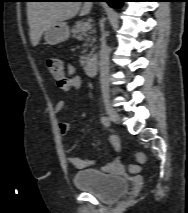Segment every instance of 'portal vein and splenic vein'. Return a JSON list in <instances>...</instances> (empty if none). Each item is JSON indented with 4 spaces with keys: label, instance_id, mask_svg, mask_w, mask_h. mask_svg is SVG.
Instances as JSON below:
<instances>
[{
    "label": "portal vein and splenic vein",
    "instance_id": "18ae733b",
    "mask_svg": "<svg viewBox=\"0 0 188 213\" xmlns=\"http://www.w3.org/2000/svg\"><path fill=\"white\" fill-rule=\"evenodd\" d=\"M90 23L89 22H86L85 24H84V26H83V31H86V30H88L89 28H90Z\"/></svg>",
    "mask_w": 188,
    "mask_h": 213
}]
</instances>
